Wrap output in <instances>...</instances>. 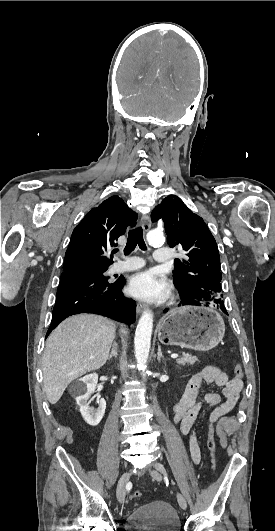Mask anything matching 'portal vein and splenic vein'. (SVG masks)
I'll list each match as a JSON object with an SVG mask.
<instances>
[{"label":"portal vein and splenic vein","mask_w":275,"mask_h":531,"mask_svg":"<svg viewBox=\"0 0 275 531\" xmlns=\"http://www.w3.org/2000/svg\"><path fill=\"white\" fill-rule=\"evenodd\" d=\"M172 359H177V357H179V355H171Z\"/></svg>","instance_id":"obj_1"}]
</instances>
